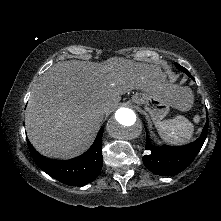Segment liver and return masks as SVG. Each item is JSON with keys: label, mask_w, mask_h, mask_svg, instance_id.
I'll return each mask as SVG.
<instances>
[{"label": "liver", "mask_w": 221, "mask_h": 221, "mask_svg": "<svg viewBox=\"0 0 221 221\" xmlns=\"http://www.w3.org/2000/svg\"><path fill=\"white\" fill-rule=\"evenodd\" d=\"M159 66L112 57L102 63L69 60L50 67L34 86L25 125L33 147L50 158L69 159L92 143L102 121L130 90L166 94ZM174 108L179 102L169 97Z\"/></svg>", "instance_id": "6515ba94"}]
</instances>
